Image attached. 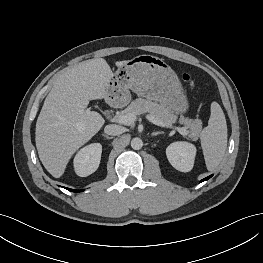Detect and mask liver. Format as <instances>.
<instances>
[{
  "label": "liver",
  "instance_id": "6515ba94",
  "mask_svg": "<svg viewBox=\"0 0 263 263\" xmlns=\"http://www.w3.org/2000/svg\"><path fill=\"white\" fill-rule=\"evenodd\" d=\"M127 61H117L120 68ZM113 77L103 58L83 61L64 71L47 95L36 122L39 158L55 178L63 175L71 156L104 125V118L87 108L90 100L107 96Z\"/></svg>",
  "mask_w": 263,
  "mask_h": 263
}]
</instances>
